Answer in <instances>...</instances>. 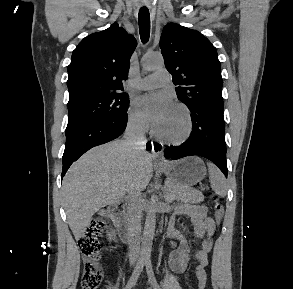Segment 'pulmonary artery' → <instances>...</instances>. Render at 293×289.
<instances>
[{
	"label": "pulmonary artery",
	"instance_id": "obj_1",
	"mask_svg": "<svg viewBox=\"0 0 293 289\" xmlns=\"http://www.w3.org/2000/svg\"><path fill=\"white\" fill-rule=\"evenodd\" d=\"M170 82V74L165 69L156 70L153 74L140 79L136 87L141 90H149Z\"/></svg>",
	"mask_w": 293,
	"mask_h": 289
}]
</instances>
